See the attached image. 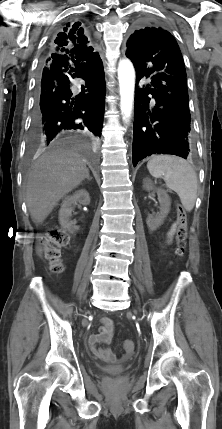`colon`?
I'll use <instances>...</instances> for the list:
<instances>
[{"instance_id": "1", "label": "colon", "mask_w": 222, "mask_h": 429, "mask_svg": "<svg viewBox=\"0 0 222 429\" xmlns=\"http://www.w3.org/2000/svg\"><path fill=\"white\" fill-rule=\"evenodd\" d=\"M187 239V214L185 209L177 204V229L175 240L177 244L176 254L182 256L186 250ZM69 240V235L58 227L49 229L40 237L39 251L49 262L50 268L54 273H61L64 269L61 262V250ZM122 348L126 353L134 351V343L131 340H124Z\"/></svg>"}]
</instances>
